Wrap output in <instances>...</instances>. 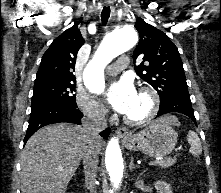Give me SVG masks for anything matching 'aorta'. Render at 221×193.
I'll return each mask as SVG.
<instances>
[{
    "label": "aorta",
    "mask_w": 221,
    "mask_h": 193,
    "mask_svg": "<svg viewBox=\"0 0 221 193\" xmlns=\"http://www.w3.org/2000/svg\"><path fill=\"white\" fill-rule=\"evenodd\" d=\"M138 35L132 28H121L110 33L99 46L95 58L85 70V83L95 94L104 90L102 68L113 58L136 45ZM106 169L114 188H118L123 177V159L117 138H112L106 149Z\"/></svg>",
    "instance_id": "762f6f07"
}]
</instances>
